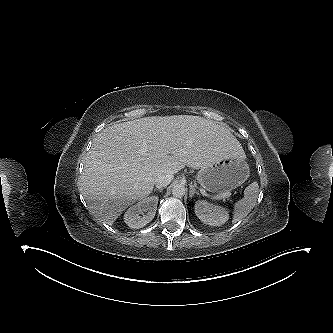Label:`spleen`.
Listing matches in <instances>:
<instances>
[{
    "mask_svg": "<svg viewBox=\"0 0 333 333\" xmlns=\"http://www.w3.org/2000/svg\"><path fill=\"white\" fill-rule=\"evenodd\" d=\"M258 190L257 182H253L245 188L244 197L234 204L233 223L241 221L252 211L257 201Z\"/></svg>",
    "mask_w": 333,
    "mask_h": 333,
    "instance_id": "obj_1",
    "label": "spleen"
}]
</instances>
